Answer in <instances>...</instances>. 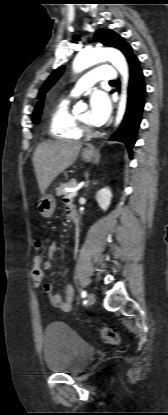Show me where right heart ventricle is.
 Listing matches in <instances>:
<instances>
[{"label": "right heart ventricle", "mask_w": 168, "mask_h": 415, "mask_svg": "<svg viewBox=\"0 0 168 415\" xmlns=\"http://www.w3.org/2000/svg\"><path fill=\"white\" fill-rule=\"evenodd\" d=\"M49 133L56 139H74L82 133L77 125L76 117L70 111V100H60L52 110L49 121Z\"/></svg>", "instance_id": "obj_1"}]
</instances>
